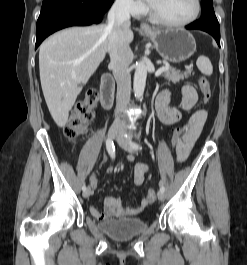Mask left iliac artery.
<instances>
[{"label": "left iliac artery", "instance_id": "obj_1", "mask_svg": "<svg viewBox=\"0 0 247 265\" xmlns=\"http://www.w3.org/2000/svg\"><path fill=\"white\" fill-rule=\"evenodd\" d=\"M131 146L136 149V150H141L142 149V146L138 143H135V142H132L131 143ZM160 191L164 192L165 191V187L163 186L162 183H160Z\"/></svg>", "mask_w": 247, "mask_h": 265}]
</instances>
